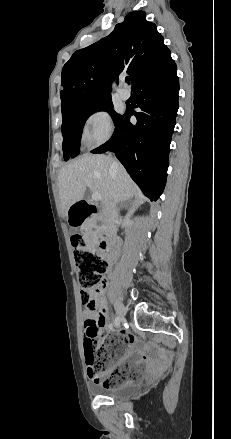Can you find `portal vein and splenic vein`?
<instances>
[{"label":"portal vein and splenic vein","mask_w":231,"mask_h":439,"mask_svg":"<svg viewBox=\"0 0 231 439\" xmlns=\"http://www.w3.org/2000/svg\"><path fill=\"white\" fill-rule=\"evenodd\" d=\"M92 200H94V201H99V200H101V195H100L99 193H97V192H94V193L92 194Z\"/></svg>","instance_id":"obj_1"}]
</instances>
